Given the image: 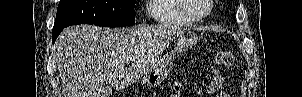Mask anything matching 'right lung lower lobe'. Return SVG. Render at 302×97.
I'll return each instance as SVG.
<instances>
[{
    "instance_id": "obj_1",
    "label": "right lung lower lobe",
    "mask_w": 302,
    "mask_h": 97,
    "mask_svg": "<svg viewBox=\"0 0 302 97\" xmlns=\"http://www.w3.org/2000/svg\"><path fill=\"white\" fill-rule=\"evenodd\" d=\"M63 29H60V30H53L52 32V41L53 43L55 42L56 38L58 37V35L61 33Z\"/></svg>"
}]
</instances>
